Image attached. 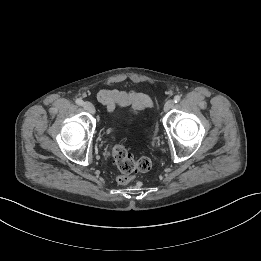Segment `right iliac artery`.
I'll return each instance as SVG.
<instances>
[{
	"mask_svg": "<svg viewBox=\"0 0 261 261\" xmlns=\"http://www.w3.org/2000/svg\"><path fill=\"white\" fill-rule=\"evenodd\" d=\"M76 104H78L79 106H82L83 105V100L78 98L76 99Z\"/></svg>",
	"mask_w": 261,
	"mask_h": 261,
	"instance_id": "obj_1",
	"label": "right iliac artery"
}]
</instances>
